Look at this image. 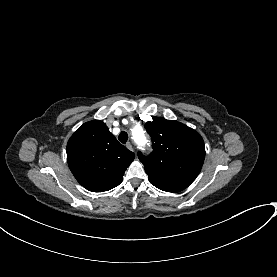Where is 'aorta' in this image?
Masks as SVG:
<instances>
[{
	"label": "aorta",
	"instance_id": "aorta-1",
	"mask_svg": "<svg viewBox=\"0 0 277 277\" xmlns=\"http://www.w3.org/2000/svg\"><path fill=\"white\" fill-rule=\"evenodd\" d=\"M133 139L138 144H143L145 142V137L140 127H137L133 130Z\"/></svg>",
	"mask_w": 277,
	"mask_h": 277
}]
</instances>
